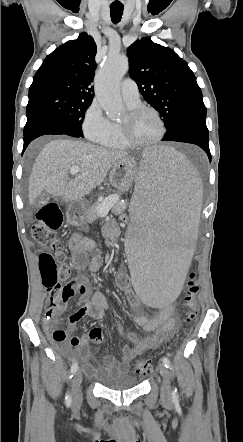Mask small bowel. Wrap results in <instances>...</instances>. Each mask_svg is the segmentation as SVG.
<instances>
[{
  "label": "small bowel",
  "mask_w": 243,
  "mask_h": 442,
  "mask_svg": "<svg viewBox=\"0 0 243 442\" xmlns=\"http://www.w3.org/2000/svg\"><path fill=\"white\" fill-rule=\"evenodd\" d=\"M117 228L114 224H107L104 227V234L107 237H114ZM70 250L72 252V262L76 269L82 270L87 268L89 272L95 273L100 269L102 255L97 248L96 242L82 234H75L69 241ZM79 286L80 298L78 300L79 309L69 317L68 330L74 332L77 324L85 317L100 320L106 316L110 310V304L106 297L98 290H94L89 286V280L79 277L73 281ZM117 287L124 291L128 301L133 306L140 303L139 296H134L131 286L130 277L126 273H119L116 276ZM65 305L56 306L48 309L43 319V325L46 330L51 332L59 324L58 317ZM175 309L173 306L164 307L156 315L151 318L143 316L135 317L134 322L141 327L147 336L138 338L134 333H126L119 321L115 322L116 329L121 336H124L131 344L125 345L120 358L107 355L102 359L101 364H94L88 358L89 341L96 344L103 342V333L100 327H93L87 336L72 335L69 343L75 347V351L70 354L72 360L84 359V370L93 378L99 379L112 373L127 372L134 357H138L148 350L157 349L164 341L170 339L177 330V320L174 316ZM55 341V340H54ZM63 347L67 346L65 341H55Z\"/></svg>",
  "instance_id": "small-bowel-1"
}]
</instances>
